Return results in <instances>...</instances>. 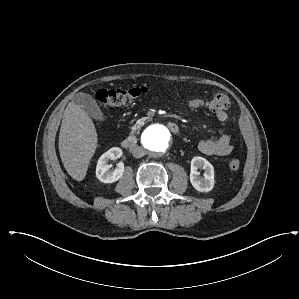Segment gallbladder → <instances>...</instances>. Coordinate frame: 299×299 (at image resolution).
I'll list each match as a JSON object with an SVG mask.
<instances>
[{
    "label": "gallbladder",
    "mask_w": 299,
    "mask_h": 299,
    "mask_svg": "<svg viewBox=\"0 0 299 299\" xmlns=\"http://www.w3.org/2000/svg\"><path fill=\"white\" fill-rule=\"evenodd\" d=\"M73 102L97 121L105 120L103 112L91 95L86 93H77L73 97Z\"/></svg>",
    "instance_id": "bac80fb5"
}]
</instances>
